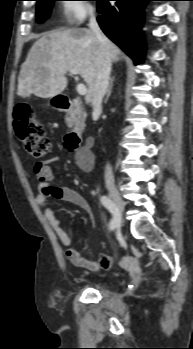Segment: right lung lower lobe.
I'll use <instances>...</instances> for the list:
<instances>
[{
  "instance_id": "98d812e1",
  "label": "right lung lower lobe",
  "mask_w": 193,
  "mask_h": 349,
  "mask_svg": "<svg viewBox=\"0 0 193 349\" xmlns=\"http://www.w3.org/2000/svg\"><path fill=\"white\" fill-rule=\"evenodd\" d=\"M97 17L103 32L125 51L136 63L143 59L144 40L141 31L144 8L152 0H96Z\"/></svg>"
}]
</instances>
